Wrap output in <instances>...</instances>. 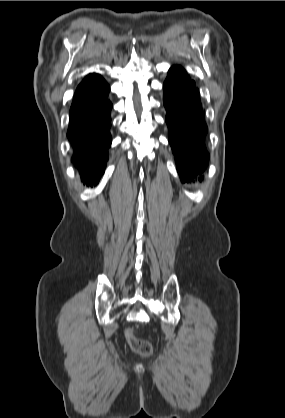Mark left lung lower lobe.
I'll use <instances>...</instances> for the list:
<instances>
[{
  "label": "left lung lower lobe",
  "mask_w": 285,
  "mask_h": 418,
  "mask_svg": "<svg viewBox=\"0 0 285 418\" xmlns=\"http://www.w3.org/2000/svg\"><path fill=\"white\" fill-rule=\"evenodd\" d=\"M168 139L182 182L201 174L209 160L204 146L207 126L195 81L181 66H172L163 85Z\"/></svg>",
  "instance_id": "obj_1"
}]
</instances>
